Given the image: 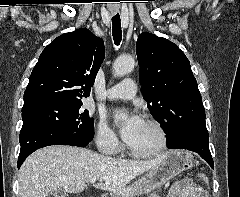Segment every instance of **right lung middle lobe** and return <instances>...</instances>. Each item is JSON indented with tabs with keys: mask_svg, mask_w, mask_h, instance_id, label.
Masks as SVG:
<instances>
[{
	"mask_svg": "<svg viewBox=\"0 0 240 197\" xmlns=\"http://www.w3.org/2000/svg\"><path fill=\"white\" fill-rule=\"evenodd\" d=\"M82 103H51L22 110L23 124L27 122L51 124L65 129L85 141L94 136V121Z\"/></svg>",
	"mask_w": 240,
	"mask_h": 197,
	"instance_id": "dd1d6c3e",
	"label": "right lung middle lobe"
}]
</instances>
